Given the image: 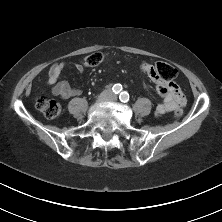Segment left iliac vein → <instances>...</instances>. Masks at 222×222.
<instances>
[{
	"instance_id": "obj_1",
	"label": "left iliac vein",
	"mask_w": 222,
	"mask_h": 222,
	"mask_svg": "<svg viewBox=\"0 0 222 222\" xmlns=\"http://www.w3.org/2000/svg\"><path fill=\"white\" fill-rule=\"evenodd\" d=\"M110 100H111V101H115V100H116V98H115V97H112Z\"/></svg>"
}]
</instances>
